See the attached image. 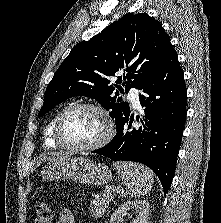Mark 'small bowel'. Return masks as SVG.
<instances>
[{
  "label": "small bowel",
  "instance_id": "c3829d8e",
  "mask_svg": "<svg viewBox=\"0 0 221 223\" xmlns=\"http://www.w3.org/2000/svg\"><path fill=\"white\" fill-rule=\"evenodd\" d=\"M56 223H75V218L71 210L63 208L59 213Z\"/></svg>",
  "mask_w": 221,
  "mask_h": 223
}]
</instances>
